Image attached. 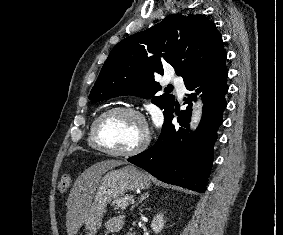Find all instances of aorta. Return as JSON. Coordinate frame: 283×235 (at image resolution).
<instances>
[{"mask_svg":"<svg viewBox=\"0 0 283 235\" xmlns=\"http://www.w3.org/2000/svg\"><path fill=\"white\" fill-rule=\"evenodd\" d=\"M201 113H202V103L199 101L197 103V106L193 112L192 118H191V127L196 128L200 119H201Z\"/></svg>","mask_w":283,"mask_h":235,"instance_id":"obj_1","label":"aorta"}]
</instances>
